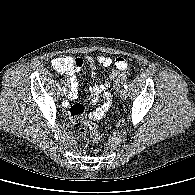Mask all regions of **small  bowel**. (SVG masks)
<instances>
[{
	"label": "small bowel",
	"instance_id": "c3829d8e",
	"mask_svg": "<svg viewBox=\"0 0 195 195\" xmlns=\"http://www.w3.org/2000/svg\"><path fill=\"white\" fill-rule=\"evenodd\" d=\"M68 58L71 61V66L68 70L61 71V72L68 76V84L70 86L68 99L73 100L76 97V92L78 87L77 74L82 70L84 66V59L81 57H77V58L68 57ZM86 60L89 62L90 65L91 76L95 75L96 62L105 68H109L112 65H115V70L112 72L108 80H106L102 84L93 85L89 89L93 97L92 103L99 104V107H97L89 115V118L91 120H99L107 113L111 105V94L108 91L111 86V83L113 80H115L117 75L123 71V69L127 66V63L125 59L122 57H117L113 60L112 58L103 55L97 56L95 59L92 57H87ZM69 112H70L71 119L74 120L75 118L81 116L84 113V107L81 104H75L70 108Z\"/></svg>",
	"mask_w": 195,
	"mask_h": 195
}]
</instances>
